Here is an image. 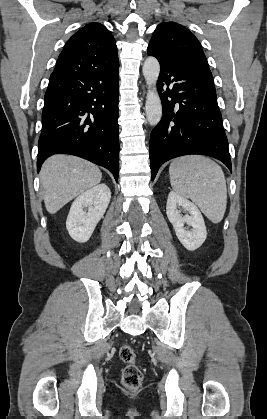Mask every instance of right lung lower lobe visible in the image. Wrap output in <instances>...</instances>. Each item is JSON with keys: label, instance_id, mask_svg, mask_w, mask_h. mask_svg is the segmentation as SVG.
<instances>
[{"label": "right lung lower lobe", "instance_id": "98d812e1", "mask_svg": "<svg viewBox=\"0 0 267 419\" xmlns=\"http://www.w3.org/2000/svg\"><path fill=\"white\" fill-rule=\"evenodd\" d=\"M119 62L90 71L53 72L45 93L38 172L53 154H72L119 172Z\"/></svg>", "mask_w": 267, "mask_h": 419}]
</instances>
